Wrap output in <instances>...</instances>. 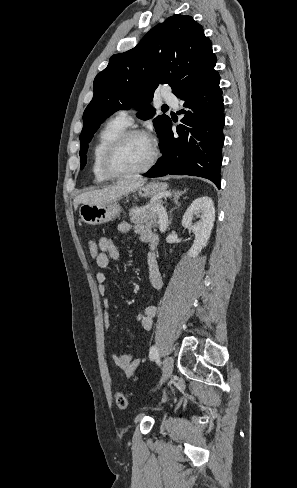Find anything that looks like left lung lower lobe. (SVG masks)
Instances as JSON below:
<instances>
[{"mask_svg":"<svg viewBox=\"0 0 297 488\" xmlns=\"http://www.w3.org/2000/svg\"><path fill=\"white\" fill-rule=\"evenodd\" d=\"M215 71L203 84L181 97L185 107L183 124L172 131L170 121L161 142L162 157L143 176L167 174L193 175L207 178L220 188L221 150L224 143L222 90Z\"/></svg>","mask_w":297,"mask_h":488,"instance_id":"obj_1","label":"left lung lower lobe"}]
</instances>
